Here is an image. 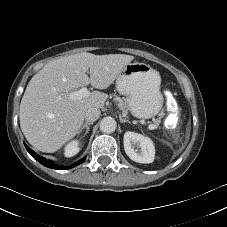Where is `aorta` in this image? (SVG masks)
<instances>
[{
    "mask_svg": "<svg viewBox=\"0 0 227 227\" xmlns=\"http://www.w3.org/2000/svg\"><path fill=\"white\" fill-rule=\"evenodd\" d=\"M100 130L104 133H112L116 130V121L112 117H105L100 123Z\"/></svg>",
    "mask_w": 227,
    "mask_h": 227,
    "instance_id": "obj_1",
    "label": "aorta"
}]
</instances>
